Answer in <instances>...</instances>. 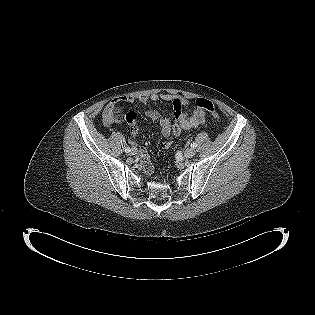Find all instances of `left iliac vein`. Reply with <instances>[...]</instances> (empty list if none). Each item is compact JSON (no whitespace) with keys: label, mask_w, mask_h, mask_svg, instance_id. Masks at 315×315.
Returning <instances> with one entry per match:
<instances>
[{"label":"left iliac vein","mask_w":315,"mask_h":315,"mask_svg":"<svg viewBox=\"0 0 315 315\" xmlns=\"http://www.w3.org/2000/svg\"><path fill=\"white\" fill-rule=\"evenodd\" d=\"M194 155H195V150H194L193 148H188V149H186L185 152H184V156H185L186 158H191V157H193Z\"/></svg>","instance_id":"1"}]
</instances>
